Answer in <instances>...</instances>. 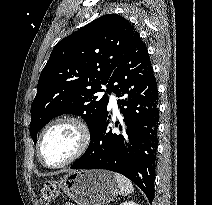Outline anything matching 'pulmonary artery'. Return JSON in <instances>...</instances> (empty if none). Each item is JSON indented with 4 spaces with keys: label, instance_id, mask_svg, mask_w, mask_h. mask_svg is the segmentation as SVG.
Segmentation results:
<instances>
[{
    "label": "pulmonary artery",
    "instance_id": "1",
    "mask_svg": "<svg viewBox=\"0 0 212 205\" xmlns=\"http://www.w3.org/2000/svg\"><path fill=\"white\" fill-rule=\"evenodd\" d=\"M109 97H110V106L113 109H116L117 108V98H116L115 94L111 92L109 94Z\"/></svg>",
    "mask_w": 212,
    "mask_h": 205
}]
</instances>
